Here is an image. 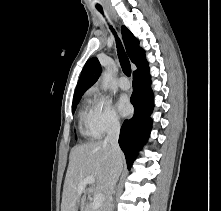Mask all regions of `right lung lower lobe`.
<instances>
[{"label": "right lung lower lobe", "instance_id": "98d812e1", "mask_svg": "<svg viewBox=\"0 0 221 211\" xmlns=\"http://www.w3.org/2000/svg\"><path fill=\"white\" fill-rule=\"evenodd\" d=\"M150 83L148 66L133 73L131 103L134 105L135 114L131 119L124 121L119 137V145L125 154L129 169L138 150L146 143L151 130L150 114L153 110V95Z\"/></svg>", "mask_w": 221, "mask_h": 211}]
</instances>
